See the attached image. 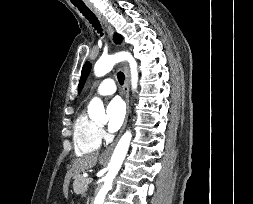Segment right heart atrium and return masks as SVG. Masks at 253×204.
<instances>
[{
    "label": "right heart atrium",
    "mask_w": 253,
    "mask_h": 204,
    "mask_svg": "<svg viewBox=\"0 0 253 204\" xmlns=\"http://www.w3.org/2000/svg\"><path fill=\"white\" fill-rule=\"evenodd\" d=\"M98 133H99V136H100L101 138L104 137V135H105L102 128H98Z\"/></svg>",
    "instance_id": "right-heart-atrium-1"
}]
</instances>
